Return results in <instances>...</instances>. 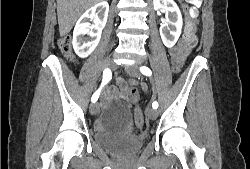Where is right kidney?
<instances>
[{
    "instance_id": "right-kidney-1",
    "label": "right kidney",
    "mask_w": 250,
    "mask_h": 169,
    "mask_svg": "<svg viewBox=\"0 0 250 169\" xmlns=\"http://www.w3.org/2000/svg\"><path fill=\"white\" fill-rule=\"evenodd\" d=\"M108 12L109 4L107 0H101L98 4L88 8L78 18L73 30L72 44L76 54L81 58H86L95 50L107 22ZM89 18H92L94 22L91 26L88 22ZM84 34H89V38H84Z\"/></svg>"
}]
</instances>
